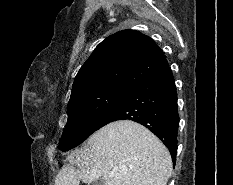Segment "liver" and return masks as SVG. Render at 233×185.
Masks as SVG:
<instances>
[{
  "label": "liver",
  "mask_w": 233,
  "mask_h": 185,
  "mask_svg": "<svg viewBox=\"0 0 233 185\" xmlns=\"http://www.w3.org/2000/svg\"><path fill=\"white\" fill-rule=\"evenodd\" d=\"M55 185H166L172 159L164 144L147 128L121 120L92 134L81 149L67 156ZM113 173V175H112Z\"/></svg>",
  "instance_id": "liver-1"
}]
</instances>
